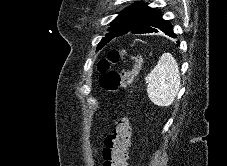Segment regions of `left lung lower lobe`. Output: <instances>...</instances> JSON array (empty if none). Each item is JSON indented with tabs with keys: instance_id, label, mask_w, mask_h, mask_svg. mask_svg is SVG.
Here are the masks:
<instances>
[{
	"instance_id": "obj_1",
	"label": "left lung lower lobe",
	"mask_w": 227,
	"mask_h": 166,
	"mask_svg": "<svg viewBox=\"0 0 227 166\" xmlns=\"http://www.w3.org/2000/svg\"><path fill=\"white\" fill-rule=\"evenodd\" d=\"M159 30L170 37H176L171 24L162 18V14L145 4L134 19L132 26L124 32L119 33L116 37L127 34L128 32L144 34L158 32Z\"/></svg>"
}]
</instances>
